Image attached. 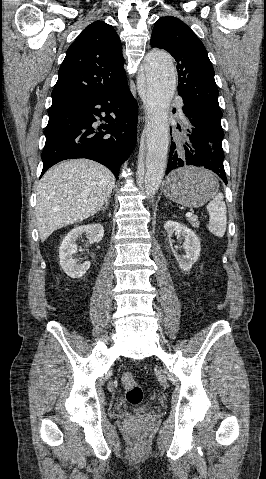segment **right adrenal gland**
<instances>
[{
	"label": "right adrenal gland",
	"instance_id": "obj_1",
	"mask_svg": "<svg viewBox=\"0 0 266 479\" xmlns=\"http://www.w3.org/2000/svg\"><path fill=\"white\" fill-rule=\"evenodd\" d=\"M109 204V199L105 202V206L101 208V210L106 211Z\"/></svg>",
	"mask_w": 266,
	"mask_h": 479
}]
</instances>
